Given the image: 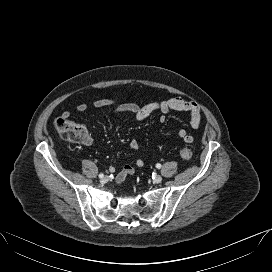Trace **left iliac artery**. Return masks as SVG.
Wrapping results in <instances>:
<instances>
[{"mask_svg": "<svg viewBox=\"0 0 272 272\" xmlns=\"http://www.w3.org/2000/svg\"><path fill=\"white\" fill-rule=\"evenodd\" d=\"M156 168L160 169L161 168V164H156Z\"/></svg>", "mask_w": 272, "mask_h": 272, "instance_id": "1", "label": "left iliac artery"}]
</instances>
